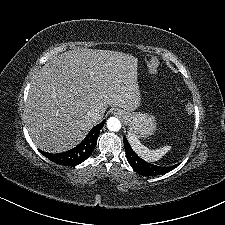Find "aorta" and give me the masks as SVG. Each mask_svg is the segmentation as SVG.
<instances>
[{
    "label": "aorta",
    "instance_id": "obj_1",
    "mask_svg": "<svg viewBox=\"0 0 225 225\" xmlns=\"http://www.w3.org/2000/svg\"><path fill=\"white\" fill-rule=\"evenodd\" d=\"M107 128L110 130V131H114V132H117L121 129V122L118 118L116 117H110L108 120H107Z\"/></svg>",
    "mask_w": 225,
    "mask_h": 225
}]
</instances>
